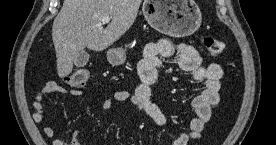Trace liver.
<instances>
[{"label":"liver","instance_id":"6515ba94","mask_svg":"<svg viewBox=\"0 0 276 145\" xmlns=\"http://www.w3.org/2000/svg\"><path fill=\"white\" fill-rule=\"evenodd\" d=\"M142 0H64L52 26L57 73L63 78L73 69L85 48L103 51L117 41L134 23ZM111 17L103 28L102 18Z\"/></svg>","mask_w":276,"mask_h":145}]
</instances>
